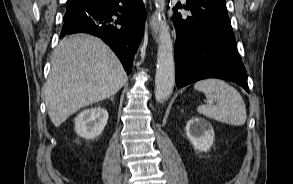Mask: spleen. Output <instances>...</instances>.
<instances>
[{
	"mask_svg": "<svg viewBox=\"0 0 293 184\" xmlns=\"http://www.w3.org/2000/svg\"><path fill=\"white\" fill-rule=\"evenodd\" d=\"M194 89L204 92L207 104L199 105L198 113L219 122L242 126L247 118L241 94L221 79L209 78L198 81ZM216 101V105L209 102Z\"/></svg>",
	"mask_w": 293,
	"mask_h": 184,
	"instance_id": "obj_1",
	"label": "spleen"
}]
</instances>
